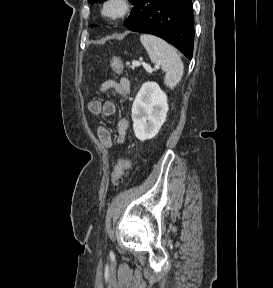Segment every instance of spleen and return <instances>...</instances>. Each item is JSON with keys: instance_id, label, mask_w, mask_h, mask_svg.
I'll use <instances>...</instances> for the list:
<instances>
[{"instance_id": "obj_1", "label": "spleen", "mask_w": 273, "mask_h": 288, "mask_svg": "<svg viewBox=\"0 0 273 288\" xmlns=\"http://www.w3.org/2000/svg\"><path fill=\"white\" fill-rule=\"evenodd\" d=\"M140 41L152 63L161 66L165 72L164 84L174 89L183 76V63L176 50L163 39L154 35L142 34Z\"/></svg>"}]
</instances>
